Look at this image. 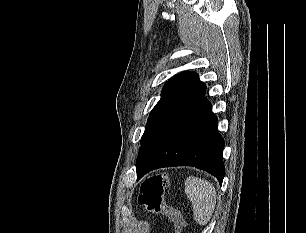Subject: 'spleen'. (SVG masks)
I'll use <instances>...</instances> for the list:
<instances>
[{
  "mask_svg": "<svg viewBox=\"0 0 306 233\" xmlns=\"http://www.w3.org/2000/svg\"><path fill=\"white\" fill-rule=\"evenodd\" d=\"M185 192L192 203L195 221L207 225L215 209V187L205 179L189 176L185 181Z\"/></svg>",
  "mask_w": 306,
  "mask_h": 233,
  "instance_id": "spleen-1",
  "label": "spleen"
}]
</instances>
